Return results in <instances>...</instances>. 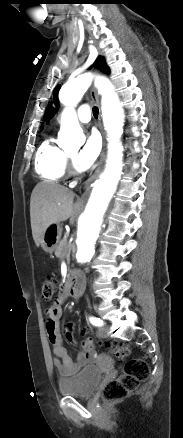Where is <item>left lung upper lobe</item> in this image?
<instances>
[{"label":"left lung upper lobe","mask_w":183,"mask_h":438,"mask_svg":"<svg viewBox=\"0 0 183 438\" xmlns=\"http://www.w3.org/2000/svg\"><path fill=\"white\" fill-rule=\"evenodd\" d=\"M94 65L100 69L103 73L108 74L109 68L107 67L105 60L103 57H98L95 61ZM60 86H57L54 90V96H53V102L57 105L58 104V92H59ZM56 112V109L54 107H50V109L46 112V115L48 118H51ZM48 122V121H47Z\"/></svg>","instance_id":"1"}]
</instances>
